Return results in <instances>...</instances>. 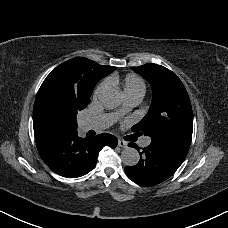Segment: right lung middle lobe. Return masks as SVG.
Returning a JSON list of instances; mask_svg holds the SVG:
<instances>
[{
	"label": "right lung middle lobe",
	"instance_id": "dd1d6c3e",
	"mask_svg": "<svg viewBox=\"0 0 228 228\" xmlns=\"http://www.w3.org/2000/svg\"><path fill=\"white\" fill-rule=\"evenodd\" d=\"M41 106L51 120L68 126L70 130H77V113L86 107L74 102L55 85L44 90Z\"/></svg>",
	"mask_w": 228,
	"mask_h": 228
}]
</instances>
